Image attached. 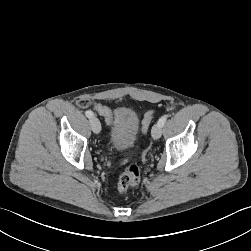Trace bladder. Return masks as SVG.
<instances>
[{"mask_svg":"<svg viewBox=\"0 0 251 251\" xmlns=\"http://www.w3.org/2000/svg\"><path fill=\"white\" fill-rule=\"evenodd\" d=\"M139 126L136 112L128 107L113 110L109 133V146L116 151L129 149L135 142Z\"/></svg>","mask_w":251,"mask_h":251,"instance_id":"31cf9c89","label":"bladder"}]
</instances>
